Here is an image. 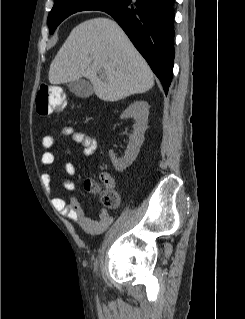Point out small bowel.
<instances>
[{"label": "small bowel", "instance_id": "1", "mask_svg": "<svg viewBox=\"0 0 245 319\" xmlns=\"http://www.w3.org/2000/svg\"><path fill=\"white\" fill-rule=\"evenodd\" d=\"M63 135L72 138L74 141L81 143L83 146V153L85 156H91L97 148V140L94 136L75 131L71 126H65L59 131H52L47 133L41 142L43 153L41 156V163L44 166H50L54 163L55 155L52 151L54 146L55 136ZM65 173L69 177L76 175V166L71 162L64 164ZM69 177L62 181L64 189L70 193L67 199L62 197H54L53 205L61 213L62 216L70 219L74 223L78 224L84 232L97 235L105 231L113 221V217L105 209H102L99 217L93 219L85 214L84 210L80 206L77 197L73 194L76 190L75 182ZM44 185L49 192H53L52 177L50 174L45 173L42 176ZM102 181L108 190H112L115 187L113 178L108 174L102 175Z\"/></svg>", "mask_w": 245, "mask_h": 319}]
</instances>
